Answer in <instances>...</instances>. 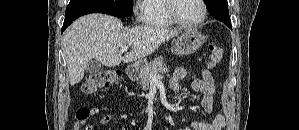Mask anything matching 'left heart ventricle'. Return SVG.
Instances as JSON below:
<instances>
[{
	"instance_id": "obj_1",
	"label": "left heart ventricle",
	"mask_w": 299,
	"mask_h": 130,
	"mask_svg": "<svg viewBox=\"0 0 299 130\" xmlns=\"http://www.w3.org/2000/svg\"><path fill=\"white\" fill-rule=\"evenodd\" d=\"M175 11L180 19L188 22L197 20L202 14L198 0H177Z\"/></svg>"
}]
</instances>
